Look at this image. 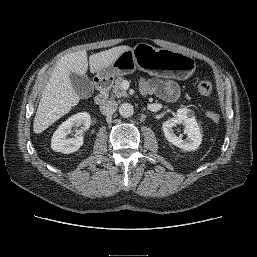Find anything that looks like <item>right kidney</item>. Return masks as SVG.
I'll return each instance as SVG.
<instances>
[{
  "mask_svg": "<svg viewBox=\"0 0 257 257\" xmlns=\"http://www.w3.org/2000/svg\"><path fill=\"white\" fill-rule=\"evenodd\" d=\"M90 115L87 112H80L64 121L54 132L51 139V148L56 152L70 154L79 150L83 145V137L75 135L69 138L72 127L82 126L78 134L86 132L90 126Z\"/></svg>",
  "mask_w": 257,
  "mask_h": 257,
  "instance_id": "1",
  "label": "right kidney"
}]
</instances>
